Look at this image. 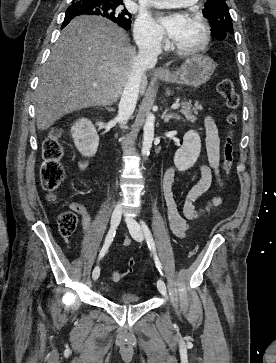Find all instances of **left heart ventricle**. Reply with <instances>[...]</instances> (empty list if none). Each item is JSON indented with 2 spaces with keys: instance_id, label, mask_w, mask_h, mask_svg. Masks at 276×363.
<instances>
[{
  "instance_id": "1",
  "label": "left heart ventricle",
  "mask_w": 276,
  "mask_h": 363,
  "mask_svg": "<svg viewBox=\"0 0 276 363\" xmlns=\"http://www.w3.org/2000/svg\"><path fill=\"white\" fill-rule=\"evenodd\" d=\"M203 37V30L201 25L191 17H185L183 27L174 39V43L182 47H193L198 45Z\"/></svg>"
}]
</instances>
